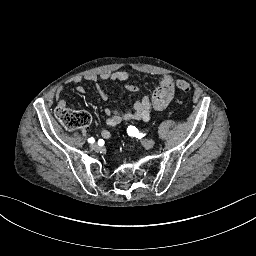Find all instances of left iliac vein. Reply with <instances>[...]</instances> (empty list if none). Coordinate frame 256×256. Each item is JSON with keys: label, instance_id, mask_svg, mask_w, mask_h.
I'll return each mask as SVG.
<instances>
[{"label": "left iliac vein", "instance_id": "left-iliac-vein-1", "mask_svg": "<svg viewBox=\"0 0 256 256\" xmlns=\"http://www.w3.org/2000/svg\"><path fill=\"white\" fill-rule=\"evenodd\" d=\"M141 144L146 148H152L155 145L154 139H144L141 140Z\"/></svg>", "mask_w": 256, "mask_h": 256}]
</instances>
